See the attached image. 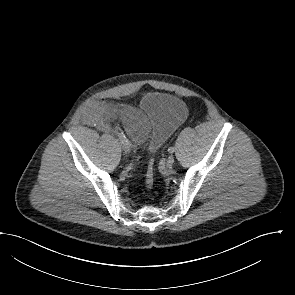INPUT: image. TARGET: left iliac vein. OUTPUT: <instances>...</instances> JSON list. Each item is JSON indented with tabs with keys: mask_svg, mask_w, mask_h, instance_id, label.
Here are the masks:
<instances>
[{
	"mask_svg": "<svg viewBox=\"0 0 295 295\" xmlns=\"http://www.w3.org/2000/svg\"><path fill=\"white\" fill-rule=\"evenodd\" d=\"M174 161H175L174 156L173 155H170L167 158V161H166L167 167L170 168L173 165Z\"/></svg>",
	"mask_w": 295,
	"mask_h": 295,
	"instance_id": "obj_1",
	"label": "left iliac vein"
}]
</instances>
